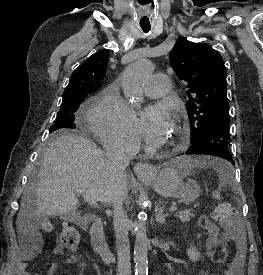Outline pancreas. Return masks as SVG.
Listing matches in <instances>:
<instances>
[{
	"label": "pancreas",
	"instance_id": "obj_1",
	"mask_svg": "<svg viewBox=\"0 0 263 275\" xmlns=\"http://www.w3.org/2000/svg\"><path fill=\"white\" fill-rule=\"evenodd\" d=\"M176 216L180 218L181 221L186 222L189 221L191 217H194V214L191 210L179 211Z\"/></svg>",
	"mask_w": 263,
	"mask_h": 275
}]
</instances>
